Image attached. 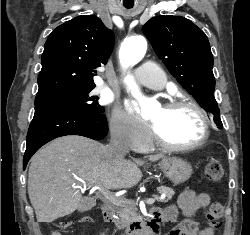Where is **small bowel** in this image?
I'll return each instance as SVG.
<instances>
[{"instance_id": "obj_1", "label": "small bowel", "mask_w": 250, "mask_h": 235, "mask_svg": "<svg viewBox=\"0 0 250 235\" xmlns=\"http://www.w3.org/2000/svg\"><path fill=\"white\" fill-rule=\"evenodd\" d=\"M211 198L205 192L195 193L194 191H184L178 200V207L172 205L164 212H158L161 216V222L172 224L176 217L178 208L185 215H193L198 211L206 208L210 204ZM166 235H214L211 227L201 228L198 222L187 220L184 223L175 225L170 228Z\"/></svg>"}]
</instances>
